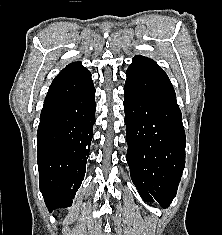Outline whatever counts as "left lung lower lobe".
Listing matches in <instances>:
<instances>
[{
	"instance_id": "obj_1",
	"label": "left lung lower lobe",
	"mask_w": 222,
	"mask_h": 235,
	"mask_svg": "<svg viewBox=\"0 0 222 235\" xmlns=\"http://www.w3.org/2000/svg\"><path fill=\"white\" fill-rule=\"evenodd\" d=\"M126 76L130 175L144 201L167 208L185 166L186 137L175 91L166 73L149 58L135 56Z\"/></svg>"
}]
</instances>
